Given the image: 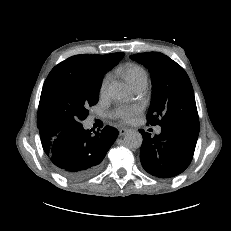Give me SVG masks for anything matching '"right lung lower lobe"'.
Listing matches in <instances>:
<instances>
[{"label": "right lung lower lobe", "mask_w": 231, "mask_h": 231, "mask_svg": "<svg viewBox=\"0 0 231 231\" xmlns=\"http://www.w3.org/2000/svg\"><path fill=\"white\" fill-rule=\"evenodd\" d=\"M39 132L43 149L58 172L74 180L88 178L101 168L119 134L110 126L92 133L82 124L47 126Z\"/></svg>", "instance_id": "obj_1"}]
</instances>
